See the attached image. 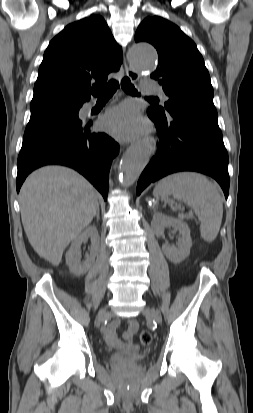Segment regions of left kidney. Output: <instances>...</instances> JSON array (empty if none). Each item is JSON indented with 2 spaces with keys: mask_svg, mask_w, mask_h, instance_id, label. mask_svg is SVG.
Returning <instances> with one entry per match:
<instances>
[{
  "mask_svg": "<svg viewBox=\"0 0 253 413\" xmlns=\"http://www.w3.org/2000/svg\"><path fill=\"white\" fill-rule=\"evenodd\" d=\"M154 233L158 236L162 235L165 227L170 226L174 230L179 231L181 237L178 247H171L167 244L162 246V251L173 263H180L185 260L190 254L192 239L188 225L181 219H175L165 216L162 213H155L151 222Z\"/></svg>",
  "mask_w": 253,
  "mask_h": 413,
  "instance_id": "5707ae66",
  "label": "left kidney"
}]
</instances>
